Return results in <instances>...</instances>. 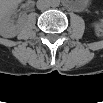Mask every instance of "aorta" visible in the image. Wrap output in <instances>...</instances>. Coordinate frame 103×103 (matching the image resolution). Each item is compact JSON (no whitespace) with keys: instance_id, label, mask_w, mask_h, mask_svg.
Wrapping results in <instances>:
<instances>
[{"instance_id":"762f6f07","label":"aorta","mask_w":103,"mask_h":103,"mask_svg":"<svg viewBox=\"0 0 103 103\" xmlns=\"http://www.w3.org/2000/svg\"><path fill=\"white\" fill-rule=\"evenodd\" d=\"M49 4H50L51 6H57V5H58V2H57L56 0H52V1L49 2Z\"/></svg>"}]
</instances>
